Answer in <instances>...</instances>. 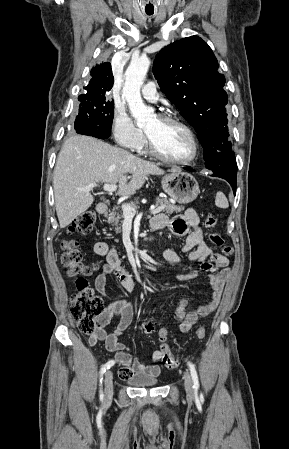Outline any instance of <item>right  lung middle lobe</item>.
Instances as JSON below:
<instances>
[{
  "label": "right lung middle lobe",
  "instance_id": "obj_1",
  "mask_svg": "<svg viewBox=\"0 0 289 449\" xmlns=\"http://www.w3.org/2000/svg\"><path fill=\"white\" fill-rule=\"evenodd\" d=\"M79 113L75 120V130L79 134L91 133L109 137L113 120L114 102L104 93L79 96Z\"/></svg>",
  "mask_w": 289,
  "mask_h": 449
}]
</instances>
